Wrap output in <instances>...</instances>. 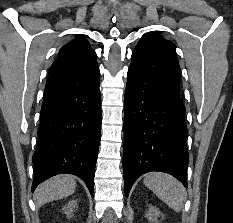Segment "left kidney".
Masks as SVG:
<instances>
[{
  "label": "left kidney",
  "mask_w": 233,
  "mask_h": 223,
  "mask_svg": "<svg viewBox=\"0 0 233 223\" xmlns=\"http://www.w3.org/2000/svg\"><path fill=\"white\" fill-rule=\"evenodd\" d=\"M160 215L164 217V213H161L159 207H155V205H151V203H149L145 217H147L149 221H153V223H158V217H160Z\"/></svg>",
  "instance_id": "1"
}]
</instances>
